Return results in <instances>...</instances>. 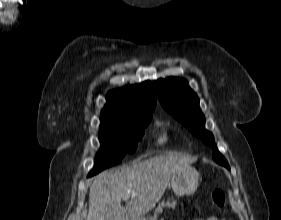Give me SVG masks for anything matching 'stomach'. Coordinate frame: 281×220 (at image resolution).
I'll use <instances>...</instances> for the list:
<instances>
[{
	"mask_svg": "<svg viewBox=\"0 0 281 220\" xmlns=\"http://www.w3.org/2000/svg\"><path fill=\"white\" fill-rule=\"evenodd\" d=\"M199 182V174L193 167L183 168L172 175L171 187L176 195L193 194Z\"/></svg>",
	"mask_w": 281,
	"mask_h": 220,
	"instance_id": "1",
	"label": "stomach"
}]
</instances>
